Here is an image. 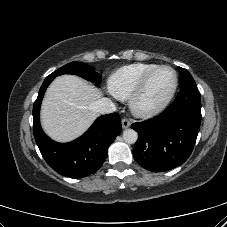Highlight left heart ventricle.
Wrapping results in <instances>:
<instances>
[{
    "mask_svg": "<svg viewBox=\"0 0 227 227\" xmlns=\"http://www.w3.org/2000/svg\"><path fill=\"white\" fill-rule=\"evenodd\" d=\"M175 75L170 69L159 70L141 98V105L152 107L161 102L173 88Z\"/></svg>",
    "mask_w": 227,
    "mask_h": 227,
    "instance_id": "obj_1",
    "label": "left heart ventricle"
}]
</instances>
